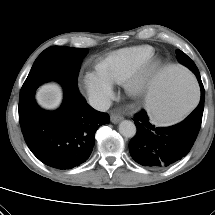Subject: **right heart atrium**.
Wrapping results in <instances>:
<instances>
[{
  "instance_id": "obj_1",
  "label": "right heart atrium",
  "mask_w": 215,
  "mask_h": 215,
  "mask_svg": "<svg viewBox=\"0 0 215 215\" xmlns=\"http://www.w3.org/2000/svg\"><path fill=\"white\" fill-rule=\"evenodd\" d=\"M80 86L91 104L98 109L105 108L114 95L112 83L97 71L85 72L81 76Z\"/></svg>"
}]
</instances>
